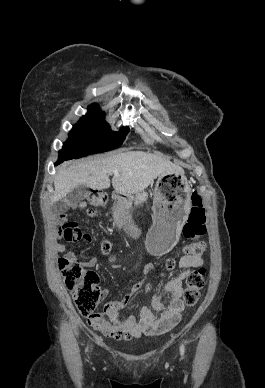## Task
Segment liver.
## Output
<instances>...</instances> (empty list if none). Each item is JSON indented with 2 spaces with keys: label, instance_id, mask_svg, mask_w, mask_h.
I'll return each mask as SVG.
<instances>
[{
  "label": "liver",
  "instance_id": "liver-1",
  "mask_svg": "<svg viewBox=\"0 0 265 388\" xmlns=\"http://www.w3.org/2000/svg\"><path fill=\"white\" fill-rule=\"evenodd\" d=\"M113 170L119 172V176L112 178V186L119 194H138L148 188L157 176L163 174H183L180 166L148 152H125L103 158H85L68 168H59L54 180L52 204L63 200L80 184L92 190L110 188L108 174Z\"/></svg>",
  "mask_w": 265,
  "mask_h": 388
}]
</instances>
